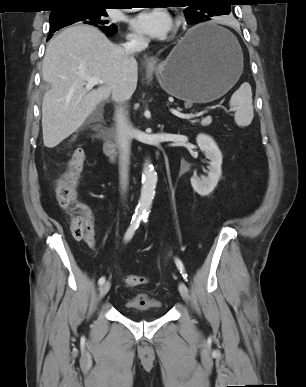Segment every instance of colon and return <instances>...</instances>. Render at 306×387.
I'll return each instance as SVG.
<instances>
[{
	"instance_id": "5ec220e1",
	"label": "colon",
	"mask_w": 306,
	"mask_h": 387,
	"mask_svg": "<svg viewBox=\"0 0 306 387\" xmlns=\"http://www.w3.org/2000/svg\"><path fill=\"white\" fill-rule=\"evenodd\" d=\"M85 162V152L81 147L73 151L64 174L56 181L55 195L59 206L67 212L70 219V231L74 238L81 239L89 231V220L78 203L77 184ZM127 286L135 287L147 283L142 275L124 277Z\"/></svg>"
}]
</instances>
